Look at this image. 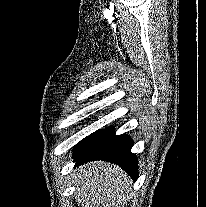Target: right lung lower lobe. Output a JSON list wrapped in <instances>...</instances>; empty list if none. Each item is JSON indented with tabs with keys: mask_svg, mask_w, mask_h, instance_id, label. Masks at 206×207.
Here are the masks:
<instances>
[{
	"mask_svg": "<svg viewBox=\"0 0 206 207\" xmlns=\"http://www.w3.org/2000/svg\"><path fill=\"white\" fill-rule=\"evenodd\" d=\"M132 139L127 135H115L113 127L106 128L93 139L75 150L76 166L86 162L102 160L115 163L136 181L139 175L137 157L130 152Z\"/></svg>",
	"mask_w": 206,
	"mask_h": 207,
	"instance_id": "1",
	"label": "right lung lower lobe"
}]
</instances>
